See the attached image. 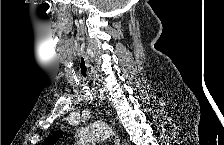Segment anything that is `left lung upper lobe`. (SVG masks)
Wrapping results in <instances>:
<instances>
[{"mask_svg":"<svg viewBox=\"0 0 224 145\" xmlns=\"http://www.w3.org/2000/svg\"><path fill=\"white\" fill-rule=\"evenodd\" d=\"M62 134H63L62 131H57V132L53 133L50 137H48V139H46L44 145L54 144L59 139V137L62 136Z\"/></svg>","mask_w":224,"mask_h":145,"instance_id":"left-lung-upper-lobe-1","label":"left lung upper lobe"}]
</instances>
